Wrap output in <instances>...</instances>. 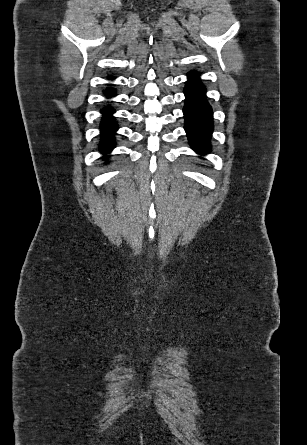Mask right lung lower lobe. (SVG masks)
<instances>
[{"instance_id":"1","label":"right lung lower lobe","mask_w":307,"mask_h":445,"mask_svg":"<svg viewBox=\"0 0 307 445\" xmlns=\"http://www.w3.org/2000/svg\"><path fill=\"white\" fill-rule=\"evenodd\" d=\"M107 95L111 96L113 92H106ZM114 110L110 107H105L102 109V113L104 115L100 128L102 132V140L100 142V149L103 153H108L114 147V134L117 129V124L113 120L111 114Z\"/></svg>"}]
</instances>
